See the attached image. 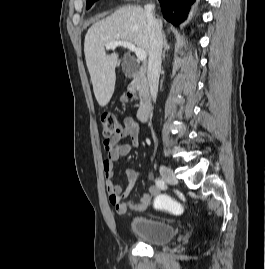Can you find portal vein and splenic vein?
I'll list each match as a JSON object with an SVG mask.
<instances>
[{"mask_svg": "<svg viewBox=\"0 0 265 269\" xmlns=\"http://www.w3.org/2000/svg\"><path fill=\"white\" fill-rule=\"evenodd\" d=\"M117 46H123L127 49H129L130 51L134 52L136 57L138 58V60L140 61H145L146 60V52L139 48L136 47L135 44H133L132 42L129 41H123V40H119V41H113L109 44L106 45V49L110 50V49H115Z\"/></svg>", "mask_w": 265, "mask_h": 269, "instance_id": "18ae733b", "label": "portal vein and splenic vein"}]
</instances>
